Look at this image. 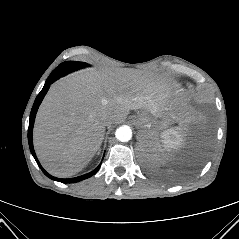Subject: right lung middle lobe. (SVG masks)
Returning <instances> with one entry per match:
<instances>
[{
  "mask_svg": "<svg viewBox=\"0 0 239 239\" xmlns=\"http://www.w3.org/2000/svg\"><path fill=\"white\" fill-rule=\"evenodd\" d=\"M86 66H88V64L83 62H77V61L63 62L52 71V73L50 74L47 80L55 81L61 76L68 74L69 72H72L74 70H77Z\"/></svg>",
  "mask_w": 239,
  "mask_h": 239,
  "instance_id": "dd1d6c3e",
  "label": "right lung middle lobe"
}]
</instances>
